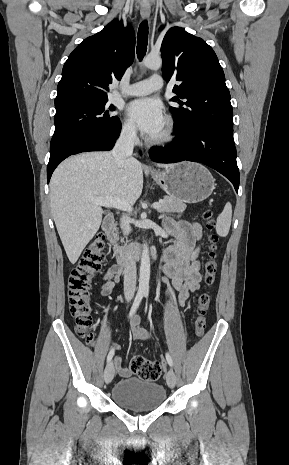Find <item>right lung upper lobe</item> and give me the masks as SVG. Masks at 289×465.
Here are the masks:
<instances>
[{
	"label": "right lung upper lobe",
	"instance_id": "obj_1",
	"mask_svg": "<svg viewBox=\"0 0 289 465\" xmlns=\"http://www.w3.org/2000/svg\"><path fill=\"white\" fill-rule=\"evenodd\" d=\"M135 35L114 20L86 38L69 55L58 83L55 105L77 100L108 99V85L120 80L134 60Z\"/></svg>",
	"mask_w": 289,
	"mask_h": 465
}]
</instances>
